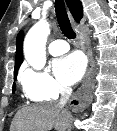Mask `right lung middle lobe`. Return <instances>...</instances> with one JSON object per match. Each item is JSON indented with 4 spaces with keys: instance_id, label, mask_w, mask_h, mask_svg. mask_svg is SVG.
I'll return each mask as SVG.
<instances>
[{
    "instance_id": "1",
    "label": "right lung middle lobe",
    "mask_w": 117,
    "mask_h": 131,
    "mask_svg": "<svg viewBox=\"0 0 117 131\" xmlns=\"http://www.w3.org/2000/svg\"><path fill=\"white\" fill-rule=\"evenodd\" d=\"M16 76H17V75L14 76V79H16ZM14 92H15V86L13 85V93H14Z\"/></svg>"
}]
</instances>
